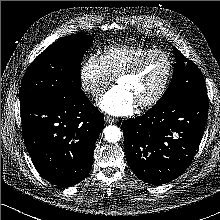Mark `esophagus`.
<instances>
[{
  "label": "esophagus",
  "instance_id": "1",
  "mask_svg": "<svg viewBox=\"0 0 220 220\" xmlns=\"http://www.w3.org/2000/svg\"><path fill=\"white\" fill-rule=\"evenodd\" d=\"M104 120L107 124H111V123H114L115 122V119L110 117V116H105L104 117Z\"/></svg>",
  "mask_w": 220,
  "mask_h": 220
}]
</instances>
